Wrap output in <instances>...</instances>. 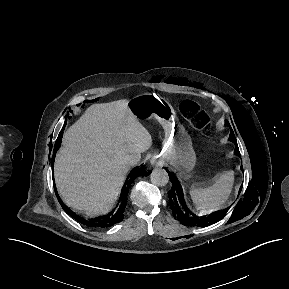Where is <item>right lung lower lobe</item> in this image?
Listing matches in <instances>:
<instances>
[{
    "mask_svg": "<svg viewBox=\"0 0 289 289\" xmlns=\"http://www.w3.org/2000/svg\"><path fill=\"white\" fill-rule=\"evenodd\" d=\"M59 145H60V139L58 137V139L56 140V143H55V148H54V153H53V158H52V164H54L55 155H56V152L59 148ZM144 174H148V173L145 170H143L142 167L134 168L131 171V173L129 174L128 178L126 179V181L123 185V188L121 190L120 205L118 207H116V209H114L110 213H108L107 215L101 216V217H96L94 219H85V218H82V217L76 215L73 211H71L62 202L57 191H56V195H57L58 201L61 204L64 211L67 214H69L70 216H72L75 220L79 221L80 223L85 224L89 227H100V228L110 227V226H112L116 223H119L123 220V217H124L123 212H124V209H125L126 203H127V195L129 192V187L135 178H137L140 175H144Z\"/></svg>",
    "mask_w": 289,
    "mask_h": 289,
    "instance_id": "right-lung-lower-lobe-1",
    "label": "right lung lower lobe"
}]
</instances>
